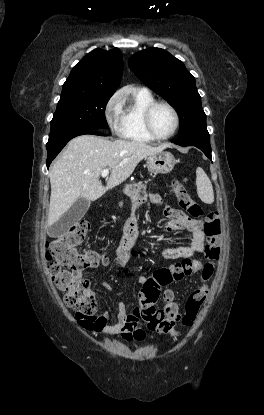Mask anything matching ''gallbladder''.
<instances>
[{"instance_id": "gallbladder-1", "label": "gallbladder", "mask_w": 264, "mask_h": 415, "mask_svg": "<svg viewBox=\"0 0 264 415\" xmlns=\"http://www.w3.org/2000/svg\"><path fill=\"white\" fill-rule=\"evenodd\" d=\"M90 202L83 197H79L71 208L50 228L52 236L63 235L71 225L76 224L86 214Z\"/></svg>"}]
</instances>
